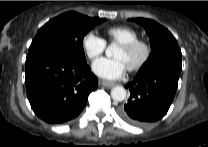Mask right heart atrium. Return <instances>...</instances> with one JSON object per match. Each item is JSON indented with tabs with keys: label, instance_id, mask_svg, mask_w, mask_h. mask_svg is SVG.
<instances>
[{
	"label": "right heart atrium",
	"instance_id": "right-heart-atrium-1",
	"mask_svg": "<svg viewBox=\"0 0 208 147\" xmlns=\"http://www.w3.org/2000/svg\"><path fill=\"white\" fill-rule=\"evenodd\" d=\"M82 47L89 59L98 58L106 49V41L94 32H88L82 39Z\"/></svg>",
	"mask_w": 208,
	"mask_h": 147
}]
</instances>
